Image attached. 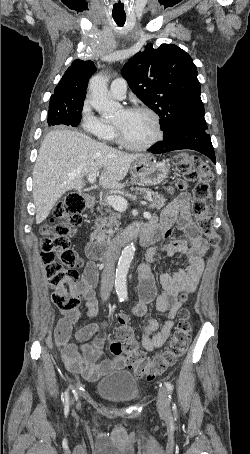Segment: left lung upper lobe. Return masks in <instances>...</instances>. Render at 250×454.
I'll return each mask as SVG.
<instances>
[{"label": "left lung upper lobe", "mask_w": 250, "mask_h": 454, "mask_svg": "<svg viewBox=\"0 0 250 454\" xmlns=\"http://www.w3.org/2000/svg\"><path fill=\"white\" fill-rule=\"evenodd\" d=\"M138 98L160 117L164 138L189 121L204 119L197 69L188 53L173 44H148L123 67Z\"/></svg>", "instance_id": "obj_1"}]
</instances>
